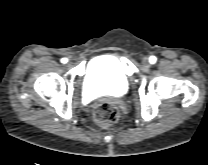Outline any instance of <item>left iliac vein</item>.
Masks as SVG:
<instances>
[{"label": "left iliac vein", "mask_w": 208, "mask_h": 165, "mask_svg": "<svg viewBox=\"0 0 208 165\" xmlns=\"http://www.w3.org/2000/svg\"><path fill=\"white\" fill-rule=\"evenodd\" d=\"M142 64H143L145 67H149V66H150L149 58L144 57V58L142 59Z\"/></svg>", "instance_id": "left-iliac-vein-1"}]
</instances>
